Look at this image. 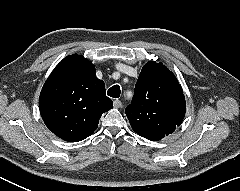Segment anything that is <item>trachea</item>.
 Segmentation results:
<instances>
[{
	"instance_id": "3493384b",
	"label": "trachea",
	"mask_w": 240,
	"mask_h": 191,
	"mask_svg": "<svg viewBox=\"0 0 240 191\" xmlns=\"http://www.w3.org/2000/svg\"><path fill=\"white\" fill-rule=\"evenodd\" d=\"M120 86L114 85L107 91V95L113 98H118L120 96Z\"/></svg>"
}]
</instances>
